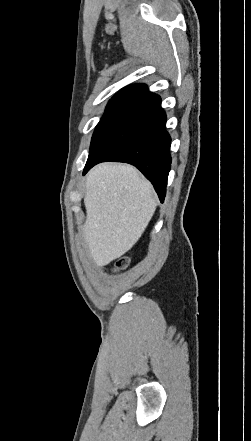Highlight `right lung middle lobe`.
Segmentation results:
<instances>
[{"instance_id":"1","label":"right lung middle lobe","mask_w":251,"mask_h":441,"mask_svg":"<svg viewBox=\"0 0 251 441\" xmlns=\"http://www.w3.org/2000/svg\"><path fill=\"white\" fill-rule=\"evenodd\" d=\"M131 102L125 101H109L105 114L101 118L100 122L95 128L90 152L95 146L96 142L100 139V137L104 134V132L108 129V127L131 105Z\"/></svg>"}]
</instances>
